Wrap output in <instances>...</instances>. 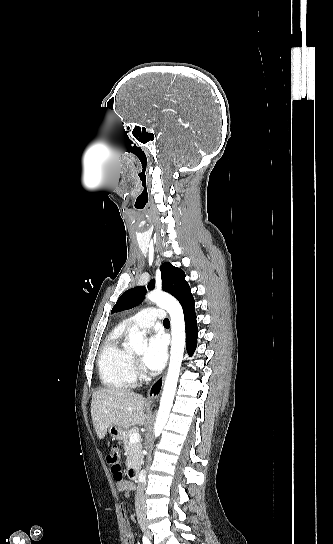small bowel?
<instances>
[{
  "label": "small bowel",
  "mask_w": 333,
  "mask_h": 544,
  "mask_svg": "<svg viewBox=\"0 0 333 544\" xmlns=\"http://www.w3.org/2000/svg\"><path fill=\"white\" fill-rule=\"evenodd\" d=\"M116 487L118 491L124 494H128L133 489V484L129 481L122 480L120 482H117ZM123 515L125 516V513H123ZM126 540L128 544H134V537L131 532L127 533Z\"/></svg>",
  "instance_id": "small-bowel-1"
}]
</instances>
